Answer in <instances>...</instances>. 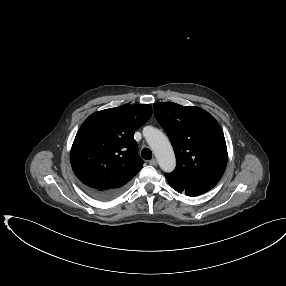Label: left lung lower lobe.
<instances>
[{"instance_id":"0a47b994","label":"left lung lower lobe","mask_w":286,"mask_h":286,"mask_svg":"<svg viewBox=\"0 0 286 286\" xmlns=\"http://www.w3.org/2000/svg\"><path fill=\"white\" fill-rule=\"evenodd\" d=\"M168 183L170 184V186L176 190L177 192L179 193H185L187 196H198V195H201L203 193H205V191H202V190H198V189H192V188H185L179 184H176L174 182H171L168 180Z\"/></svg>"}]
</instances>
